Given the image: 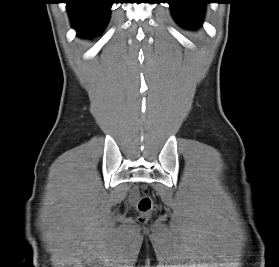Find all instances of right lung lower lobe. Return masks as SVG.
<instances>
[{
	"mask_svg": "<svg viewBox=\"0 0 279 267\" xmlns=\"http://www.w3.org/2000/svg\"><path fill=\"white\" fill-rule=\"evenodd\" d=\"M66 2L77 34L88 37L104 28L113 0H67Z\"/></svg>",
	"mask_w": 279,
	"mask_h": 267,
	"instance_id": "98d812e1",
	"label": "right lung lower lobe"
}]
</instances>
